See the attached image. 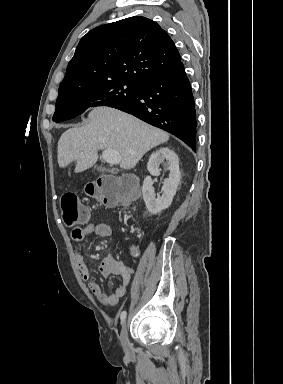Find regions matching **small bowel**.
I'll return each mask as SVG.
<instances>
[{
    "label": "small bowel",
    "mask_w": 283,
    "mask_h": 384,
    "mask_svg": "<svg viewBox=\"0 0 283 384\" xmlns=\"http://www.w3.org/2000/svg\"><path fill=\"white\" fill-rule=\"evenodd\" d=\"M112 234V230L109 225L105 223H87L82 227H78L72 231V239L76 243H80L90 235H96L99 237H109ZM75 259L78 270L82 278L87 281L88 288L91 293L97 298L99 302L104 305L113 306L116 305L120 299L126 294L133 269L128 267L125 263L117 260L112 255L107 256L102 261L99 271L103 277L120 276L121 284L111 294H106L102 291L100 286L91 280L90 269L84 261V257L79 249L75 250Z\"/></svg>",
    "instance_id": "1"
}]
</instances>
